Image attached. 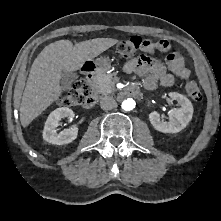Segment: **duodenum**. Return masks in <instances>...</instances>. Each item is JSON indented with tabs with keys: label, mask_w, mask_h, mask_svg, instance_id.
Segmentation results:
<instances>
[{
	"label": "duodenum",
	"mask_w": 221,
	"mask_h": 221,
	"mask_svg": "<svg viewBox=\"0 0 221 221\" xmlns=\"http://www.w3.org/2000/svg\"><path fill=\"white\" fill-rule=\"evenodd\" d=\"M84 72H85V78L89 80L90 82L94 79L95 75L97 74V68L94 64L88 63L84 66ZM139 94V89L136 87H131L127 89L124 93L123 96L126 97H133L137 96ZM96 103V98L94 95L90 94L86 97L84 106L87 108L92 107Z\"/></svg>",
	"instance_id": "duodenum-1"
}]
</instances>
